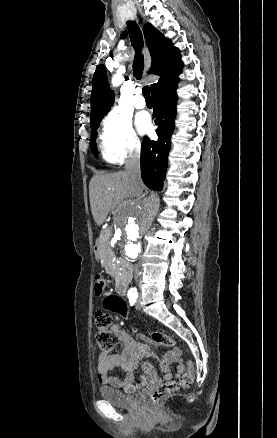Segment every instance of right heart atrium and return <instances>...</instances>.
<instances>
[{
  "instance_id": "d8ad5b80",
  "label": "right heart atrium",
  "mask_w": 277,
  "mask_h": 438,
  "mask_svg": "<svg viewBox=\"0 0 277 438\" xmlns=\"http://www.w3.org/2000/svg\"><path fill=\"white\" fill-rule=\"evenodd\" d=\"M105 132L121 159L139 153L141 140L127 114L115 113L106 123Z\"/></svg>"
}]
</instances>
